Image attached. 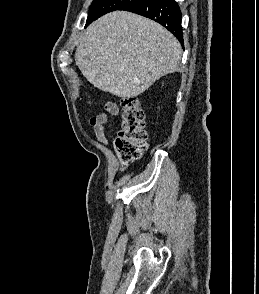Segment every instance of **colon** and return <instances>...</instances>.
I'll return each mask as SVG.
<instances>
[{
	"label": "colon",
	"instance_id": "5ec220e1",
	"mask_svg": "<svg viewBox=\"0 0 259 294\" xmlns=\"http://www.w3.org/2000/svg\"><path fill=\"white\" fill-rule=\"evenodd\" d=\"M121 126L116 139L117 151L125 163L139 158L147 149L145 115L136 97L121 101Z\"/></svg>",
	"mask_w": 259,
	"mask_h": 294
}]
</instances>
